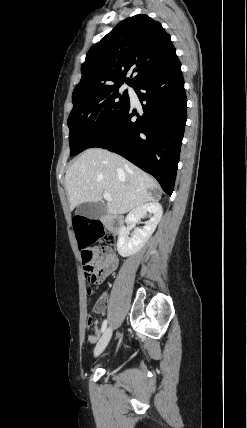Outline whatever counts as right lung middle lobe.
<instances>
[{
	"label": "right lung middle lobe",
	"mask_w": 247,
	"mask_h": 428,
	"mask_svg": "<svg viewBox=\"0 0 247 428\" xmlns=\"http://www.w3.org/2000/svg\"><path fill=\"white\" fill-rule=\"evenodd\" d=\"M129 105L127 90L120 86L86 93L73 99L68 117L70 154L76 155L98 139Z\"/></svg>",
	"instance_id": "obj_1"
}]
</instances>
